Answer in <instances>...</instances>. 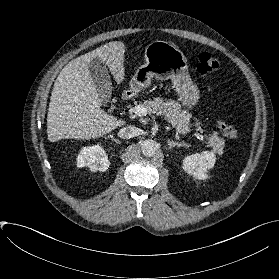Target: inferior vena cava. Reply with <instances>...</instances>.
<instances>
[{
  "label": "inferior vena cava",
  "mask_w": 279,
  "mask_h": 279,
  "mask_svg": "<svg viewBox=\"0 0 279 279\" xmlns=\"http://www.w3.org/2000/svg\"><path fill=\"white\" fill-rule=\"evenodd\" d=\"M137 133H138V128H136L135 126L128 125L120 129V131L118 132V136L123 139H130L135 137Z\"/></svg>",
  "instance_id": "602c4592"
}]
</instances>
